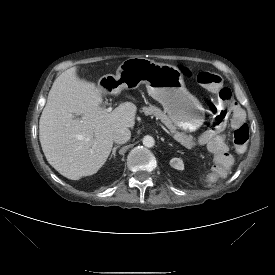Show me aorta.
<instances>
[{"mask_svg":"<svg viewBox=\"0 0 275 275\" xmlns=\"http://www.w3.org/2000/svg\"><path fill=\"white\" fill-rule=\"evenodd\" d=\"M143 145L145 147H148V148L153 147L155 145L154 138L152 136H150V135L144 136V138H143Z\"/></svg>","mask_w":275,"mask_h":275,"instance_id":"762f6f07","label":"aorta"}]
</instances>
